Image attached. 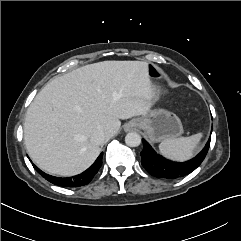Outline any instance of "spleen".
Returning <instances> with one entry per match:
<instances>
[{"label":"spleen","instance_id":"spleen-1","mask_svg":"<svg viewBox=\"0 0 241 241\" xmlns=\"http://www.w3.org/2000/svg\"><path fill=\"white\" fill-rule=\"evenodd\" d=\"M201 138L202 134L197 133L190 137L166 139L160 143L159 150L166 158L183 162L193 156V151Z\"/></svg>","mask_w":241,"mask_h":241}]
</instances>
